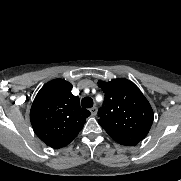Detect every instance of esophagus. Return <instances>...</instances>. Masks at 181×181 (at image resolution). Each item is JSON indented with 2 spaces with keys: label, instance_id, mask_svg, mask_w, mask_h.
<instances>
[{
  "label": "esophagus",
  "instance_id": "obj_1",
  "mask_svg": "<svg viewBox=\"0 0 181 181\" xmlns=\"http://www.w3.org/2000/svg\"><path fill=\"white\" fill-rule=\"evenodd\" d=\"M90 112L92 115H96L97 114V107L96 106H93L92 108H90Z\"/></svg>",
  "mask_w": 181,
  "mask_h": 181
}]
</instances>
